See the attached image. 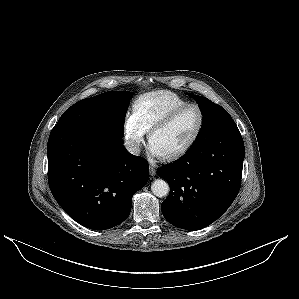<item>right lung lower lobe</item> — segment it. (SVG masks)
Returning <instances> with one entry per match:
<instances>
[{
    "label": "right lung lower lobe",
    "mask_w": 299,
    "mask_h": 299,
    "mask_svg": "<svg viewBox=\"0 0 299 299\" xmlns=\"http://www.w3.org/2000/svg\"><path fill=\"white\" fill-rule=\"evenodd\" d=\"M48 182L63 210L93 230H106L130 214L132 196L148 181L144 158L122 138L96 128L56 124L48 144Z\"/></svg>",
    "instance_id": "98d812e1"
}]
</instances>
